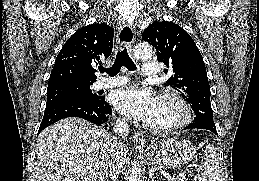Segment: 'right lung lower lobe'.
<instances>
[{"label": "right lung lower lobe", "mask_w": 259, "mask_h": 181, "mask_svg": "<svg viewBox=\"0 0 259 181\" xmlns=\"http://www.w3.org/2000/svg\"><path fill=\"white\" fill-rule=\"evenodd\" d=\"M112 114L111 106L101 97L97 101L85 98L62 99L45 109L38 134L49 125L67 117H79L94 124H104Z\"/></svg>", "instance_id": "98d812e1"}]
</instances>
